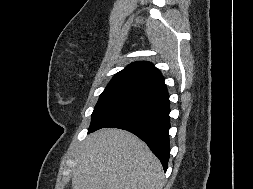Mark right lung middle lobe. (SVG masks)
<instances>
[{
    "mask_svg": "<svg viewBox=\"0 0 253 189\" xmlns=\"http://www.w3.org/2000/svg\"><path fill=\"white\" fill-rule=\"evenodd\" d=\"M147 92L131 88H107L99 97L92 113L89 128L97 125L102 119L116 110L144 97Z\"/></svg>",
    "mask_w": 253,
    "mask_h": 189,
    "instance_id": "dd1d6c3e",
    "label": "right lung middle lobe"
}]
</instances>
